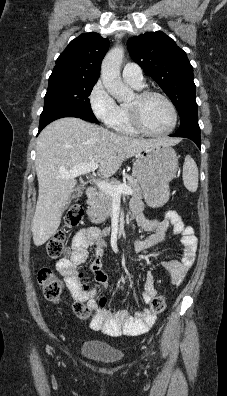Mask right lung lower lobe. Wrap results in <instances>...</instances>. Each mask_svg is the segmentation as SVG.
<instances>
[{
  "mask_svg": "<svg viewBox=\"0 0 227 396\" xmlns=\"http://www.w3.org/2000/svg\"><path fill=\"white\" fill-rule=\"evenodd\" d=\"M63 117H77L88 121L84 115L76 112L75 110L68 108L53 109L47 112H42L40 116L39 132L52 121Z\"/></svg>",
  "mask_w": 227,
  "mask_h": 396,
  "instance_id": "98d812e1",
  "label": "right lung lower lobe"
}]
</instances>
